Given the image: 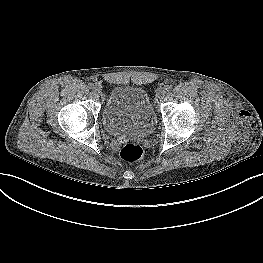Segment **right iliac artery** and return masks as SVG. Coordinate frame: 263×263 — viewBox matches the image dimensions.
Returning a JSON list of instances; mask_svg holds the SVG:
<instances>
[{
	"label": "right iliac artery",
	"instance_id": "82829eb1",
	"mask_svg": "<svg viewBox=\"0 0 263 263\" xmlns=\"http://www.w3.org/2000/svg\"><path fill=\"white\" fill-rule=\"evenodd\" d=\"M98 87H100V84H93V85H92V88H93V89H97Z\"/></svg>",
	"mask_w": 263,
	"mask_h": 263
}]
</instances>
